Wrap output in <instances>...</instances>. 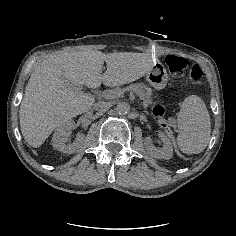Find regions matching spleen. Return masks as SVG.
<instances>
[{
	"mask_svg": "<svg viewBox=\"0 0 236 236\" xmlns=\"http://www.w3.org/2000/svg\"><path fill=\"white\" fill-rule=\"evenodd\" d=\"M178 147L185 154H199L208 145L211 121L205 103L197 96L187 97L178 115Z\"/></svg>",
	"mask_w": 236,
	"mask_h": 236,
	"instance_id": "1",
	"label": "spleen"
}]
</instances>
